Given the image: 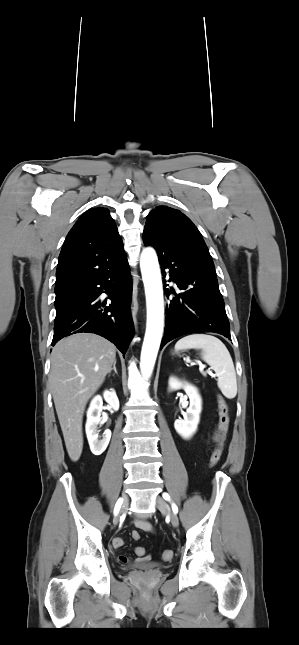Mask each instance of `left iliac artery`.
<instances>
[{"mask_svg": "<svg viewBox=\"0 0 299 645\" xmlns=\"http://www.w3.org/2000/svg\"><path fill=\"white\" fill-rule=\"evenodd\" d=\"M163 498H164L165 500H167V501L171 502V498H170L169 494L164 493V494H163ZM171 504H172V510H173V512H174V513H177V512H178V507H177L174 503H171Z\"/></svg>", "mask_w": 299, "mask_h": 645, "instance_id": "1", "label": "left iliac artery"}]
</instances>
